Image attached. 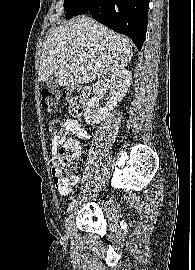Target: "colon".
Listing matches in <instances>:
<instances>
[{
    "instance_id": "5ec220e1",
    "label": "colon",
    "mask_w": 195,
    "mask_h": 270,
    "mask_svg": "<svg viewBox=\"0 0 195 270\" xmlns=\"http://www.w3.org/2000/svg\"><path fill=\"white\" fill-rule=\"evenodd\" d=\"M89 92L84 86H72L67 88L63 96L68 104V111L74 117L82 115ZM60 100V94L56 91L44 89L41 91V105L46 112L54 111ZM49 131L54 136L64 134L65 126L60 119H52L49 122ZM81 154V147L76 140L65 141L57 150L53 158L52 175L56 189L61 194L69 192L77 183L76 160Z\"/></svg>"
}]
</instances>
